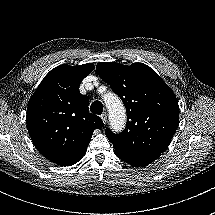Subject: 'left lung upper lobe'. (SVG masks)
<instances>
[{
  "label": "left lung upper lobe",
  "mask_w": 215,
  "mask_h": 215,
  "mask_svg": "<svg viewBox=\"0 0 215 215\" xmlns=\"http://www.w3.org/2000/svg\"><path fill=\"white\" fill-rule=\"evenodd\" d=\"M96 70L122 99L127 111L122 133L105 131L114 149L127 156H159L178 127L179 105L172 89L143 63L126 66L101 62Z\"/></svg>",
  "instance_id": "left-lung-upper-lobe-1"
}]
</instances>
